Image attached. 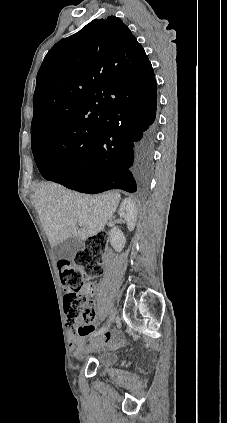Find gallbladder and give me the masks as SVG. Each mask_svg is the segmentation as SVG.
<instances>
[{
    "mask_svg": "<svg viewBox=\"0 0 227 423\" xmlns=\"http://www.w3.org/2000/svg\"><path fill=\"white\" fill-rule=\"evenodd\" d=\"M82 243L76 237H69V239H64L58 245L53 247V253L55 255L56 261L58 259H73L75 253L81 249Z\"/></svg>",
    "mask_w": 227,
    "mask_h": 423,
    "instance_id": "bac80fb5",
    "label": "gallbladder"
}]
</instances>
